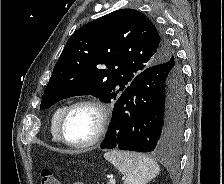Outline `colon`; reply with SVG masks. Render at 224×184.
<instances>
[{
	"label": "colon",
	"instance_id": "5ec220e1",
	"mask_svg": "<svg viewBox=\"0 0 224 184\" xmlns=\"http://www.w3.org/2000/svg\"><path fill=\"white\" fill-rule=\"evenodd\" d=\"M40 184H60L58 178L50 169H43L40 176Z\"/></svg>",
	"mask_w": 224,
	"mask_h": 184
}]
</instances>
